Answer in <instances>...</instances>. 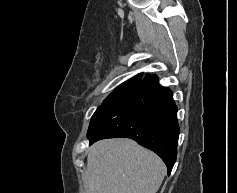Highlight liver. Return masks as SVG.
Listing matches in <instances>:
<instances>
[{
  "label": "liver",
  "mask_w": 237,
  "mask_h": 193,
  "mask_svg": "<svg viewBox=\"0 0 237 193\" xmlns=\"http://www.w3.org/2000/svg\"><path fill=\"white\" fill-rule=\"evenodd\" d=\"M166 167L152 151L127 138L101 140L88 150L86 193H156Z\"/></svg>",
  "instance_id": "1"
}]
</instances>
